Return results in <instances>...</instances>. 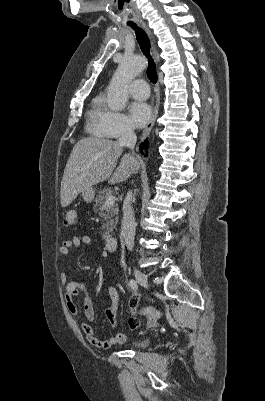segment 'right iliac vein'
<instances>
[{
	"label": "right iliac vein",
	"instance_id": "63e3f726",
	"mask_svg": "<svg viewBox=\"0 0 265 401\" xmlns=\"http://www.w3.org/2000/svg\"><path fill=\"white\" fill-rule=\"evenodd\" d=\"M134 276L137 282L146 289H149V283L147 280V276L143 274L139 269H134Z\"/></svg>",
	"mask_w": 265,
	"mask_h": 401
}]
</instances>
